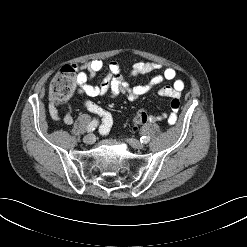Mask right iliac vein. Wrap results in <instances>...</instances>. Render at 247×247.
<instances>
[{
	"mask_svg": "<svg viewBox=\"0 0 247 247\" xmlns=\"http://www.w3.org/2000/svg\"><path fill=\"white\" fill-rule=\"evenodd\" d=\"M84 143L91 145L95 142V136L93 134H88L83 139Z\"/></svg>",
	"mask_w": 247,
	"mask_h": 247,
	"instance_id": "63e3f726",
	"label": "right iliac vein"
}]
</instances>
